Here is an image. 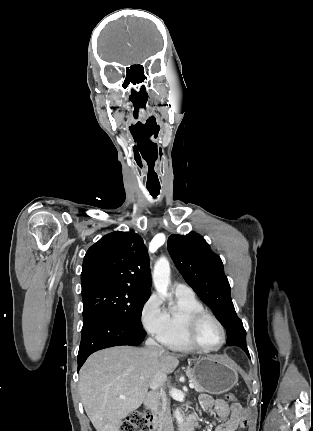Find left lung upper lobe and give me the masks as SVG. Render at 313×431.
<instances>
[{
	"label": "left lung upper lobe",
	"instance_id": "5c2ea615",
	"mask_svg": "<svg viewBox=\"0 0 313 431\" xmlns=\"http://www.w3.org/2000/svg\"><path fill=\"white\" fill-rule=\"evenodd\" d=\"M169 253L185 281L215 313L227 331V344L241 347L247 354L246 331L237 317L223 263L199 234H172Z\"/></svg>",
	"mask_w": 313,
	"mask_h": 431
}]
</instances>
